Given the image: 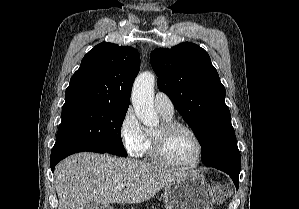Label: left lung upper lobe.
Instances as JSON below:
<instances>
[{
    "label": "left lung upper lobe",
    "mask_w": 299,
    "mask_h": 209,
    "mask_svg": "<svg viewBox=\"0 0 299 209\" xmlns=\"http://www.w3.org/2000/svg\"><path fill=\"white\" fill-rule=\"evenodd\" d=\"M150 57L160 91L170 97L195 133L201 159L207 163L227 140L236 137L224 101L225 87L208 53L185 42L171 49L158 48Z\"/></svg>",
    "instance_id": "5c2ea615"
}]
</instances>
